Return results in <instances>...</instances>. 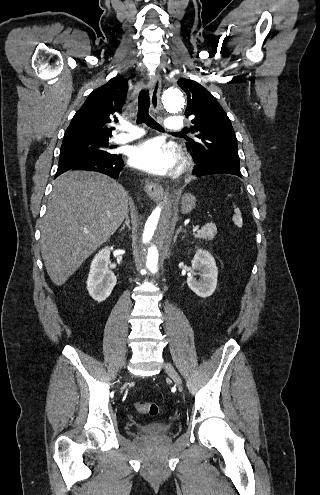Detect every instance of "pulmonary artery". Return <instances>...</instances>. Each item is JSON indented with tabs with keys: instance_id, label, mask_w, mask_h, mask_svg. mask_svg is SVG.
I'll list each match as a JSON object with an SVG mask.
<instances>
[{
	"instance_id": "pulmonary-artery-1",
	"label": "pulmonary artery",
	"mask_w": 320,
	"mask_h": 495,
	"mask_svg": "<svg viewBox=\"0 0 320 495\" xmlns=\"http://www.w3.org/2000/svg\"><path fill=\"white\" fill-rule=\"evenodd\" d=\"M183 126H184L183 119L182 117L179 116L169 117L165 122V127L169 131H180L183 128ZM123 130L126 132L117 134L113 138V141L115 143H119V144L127 143L141 137L144 134V132L140 128L133 125L123 126Z\"/></svg>"
}]
</instances>
